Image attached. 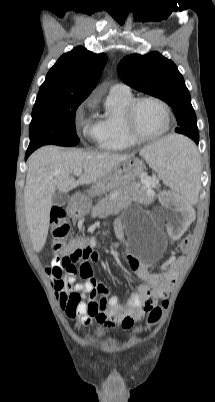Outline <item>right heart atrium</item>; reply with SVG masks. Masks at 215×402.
I'll list each match as a JSON object with an SVG mask.
<instances>
[{
  "label": "right heart atrium",
  "mask_w": 215,
  "mask_h": 402,
  "mask_svg": "<svg viewBox=\"0 0 215 402\" xmlns=\"http://www.w3.org/2000/svg\"><path fill=\"white\" fill-rule=\"evenodd\" d=\"M92 106V101H86L78 110V128L80 134L89 141H97L99 133L98 122L86 117V110Z\"/></svg>",
  "instance_id": "1"
}]
</instances>
